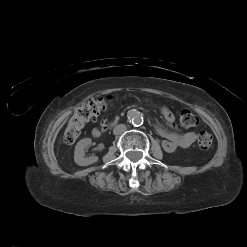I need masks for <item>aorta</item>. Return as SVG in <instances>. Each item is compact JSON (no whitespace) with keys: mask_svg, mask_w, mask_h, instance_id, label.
I'll return each instance as SVG.
<instances>
[{"mask_svg":"<svg viewBox=\"0 0 247 247\" xmlns=\"http://www.w3.org/2000/svg\"><path fill=\"white\" fill-rule=\"evenodd\" d=\"M128 119L134 126H140L143 124V117L139 111L132 109L128 112Z\"/></svg>","mask_w":247,"mask_h":247,"instance_id":"obj_1","label":"aorta"}]
</instances>
